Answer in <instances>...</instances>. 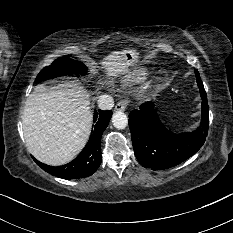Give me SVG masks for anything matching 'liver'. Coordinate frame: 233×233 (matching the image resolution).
Masks as SVG:
<instances>
[{
    "label": "liver",
    "instance_id": "6515ba94",
    "mask_svg": "<svg viewBox=\"0 0 233 233\" xmlns=\"http://www.w3.org/2000/svg\"><path fill=\"white\" fill-rule=\"evenodd\" d=\"M99 64L108 76L126 72L128 62L112 52ZM90 94L69 82L50 89L37 85L26 100L23 133L28 151L39 161L58 166L73 160L86 145L92 128Z\"/></svg>",
    "mask_w": 233,
    "mask_h": 233
}]
</instances>
